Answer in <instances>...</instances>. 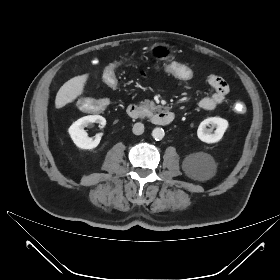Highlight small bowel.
<instances>
[{
  "mask_svg": "<svg viewBox=\"0 0 280 280\" xmlns=\"http://www.w3.org/2000/svg\"><path fill=\"white\" fill-rule=\"evenodd\" d=\"M207 82L213 89V93L203 97L198 105L202 110L210 111L224 102L229 92V88L227 83L220 76L215 74H210L207 77Z\"/></svg>",
  "mask_w": 280,
  "mask_h": 280,
  "instance_id": "small-bowel-1",
  "label": "small bowel"
}]
</instances>
